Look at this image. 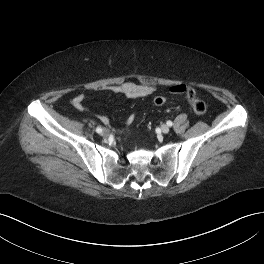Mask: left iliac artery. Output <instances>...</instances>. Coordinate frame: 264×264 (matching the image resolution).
<instances>
[{"label": "left iliac artery", "instance_id": "1", "mask_svg": "<svg viewBox=\"0 0 264 264\" xmlns=\"http://www.w3.org/2000/svg\"><path fill=\"white\" fill-rule=\"evenodd\" d=\"M167 125L172 126L173 125L172 121H167Z\"/></svg>", "mask_w": 264, "mask_h": 264}]
</instances>
